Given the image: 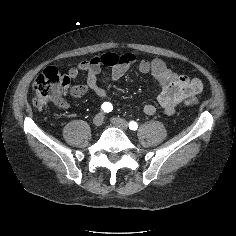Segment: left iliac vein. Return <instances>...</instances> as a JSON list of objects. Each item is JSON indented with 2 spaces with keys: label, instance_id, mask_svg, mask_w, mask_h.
<instances>
[{
  "label": "left iliac vein",
  "instance_id": "4c4485c4",
  "mask_svg": "<svg viewBox=\"0 0 236 236\" xmlns=\"http://www.w3.org/2000/svg\"><path fill=\"white\" fill-rule=\"evenodd\" d=\"M111 122L118 128L122 129L123 131H126L128 129V123L126 120L119 118V117H113L111 118Z\"/></svg>",
  "mask_w": 236,
  "mask_h": 236
}]
</instances>
